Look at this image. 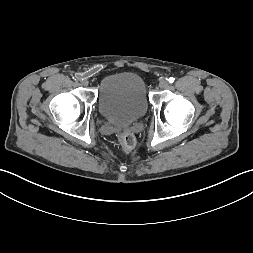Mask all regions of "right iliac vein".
<instances>
[{
  "mask_svg": "<svg viewBox=\"0 0 253 253\" xmlns=\"http://www.w3.org/2000/svg\"><path fill=\"white\" fill-rule=\"evenodd\" d=\"M83 86H88V81L86 79L81 80Z\"/></svg>",
  "mask_w": 253,
  "mask_h": 253,
  "instance_id": "right-iliac-vein-1",
  "label": "right iliac vein"
}]
</instances>
